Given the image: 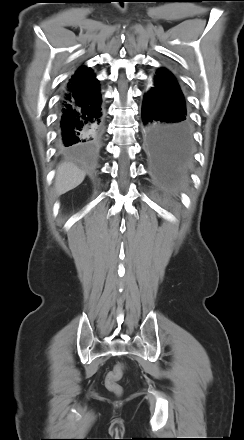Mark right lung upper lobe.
Instances as JSON below:
<instances>
[{
    "label": "right lung upper lobe",
    "instance_id": "1",
    "mask_svg": "<svg viewBox=\"0 0 244 440\" xmlns=\"http://www.w3.org/2000/svg\"><path fill=\"white\" fill-rule=\"evenodd\" d=\"M100 93L98 80L90 68L77 69L66 85L64 101L86 100Z\"/></svg>",
    "mask_w": 244,
    "mask_h": 440
}]
</instances>
